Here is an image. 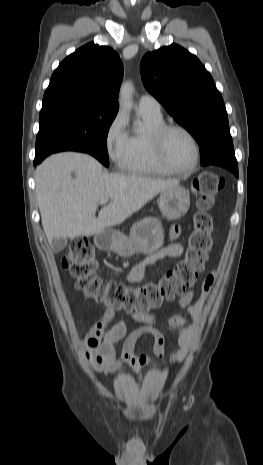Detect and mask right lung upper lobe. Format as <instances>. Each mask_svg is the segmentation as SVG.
<instances>
[{"instance_id": "cb5924a9", "label": "right lung upper lobe", "mask_w": 263, "mask_h": 465, "mask_svg": "<svg viewBox=\"0 0 263 465\" xmlns=\"http://www.w3.org/2000/svg\"><path fill=\"white\" fill-rule=\"evenodd\" d=\"M123 65L119 55L93 42L64 59L54 71L43 104L74 101L118 109Z\"/></svg>"}]
</instances>
